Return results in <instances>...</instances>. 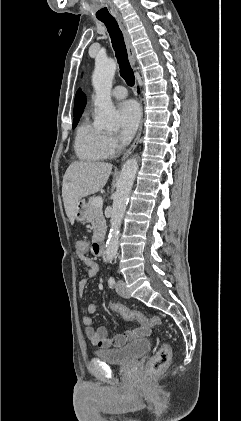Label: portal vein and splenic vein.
Masks as SVG:
<instances>
[{
	"label": "portal vein and splenic vein",
	"instance_id": "portal-vein-and-splenic-vein-1",
	"mask_svg": "<svg viewBox=\"0 0 241 421\" xmlns=\"http://www.w3.org/2000/svg\"><path fill=\"white\" fill-rule=\"evenodd\" d=\"M93 204L96 207H102L103 206V199H102V197H95L93 199Z\"/></svg>",
	"mask_w": 241,
	"mask_h": 421
}]
</instances>
